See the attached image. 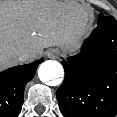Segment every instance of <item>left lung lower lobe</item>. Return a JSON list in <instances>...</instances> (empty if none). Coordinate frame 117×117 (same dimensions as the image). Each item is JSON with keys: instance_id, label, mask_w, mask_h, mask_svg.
Here are the masks:
<instances>
[{"instance_id": "1", "label": "left lung lower lobe", "mask_w": 117, "mask_h": 117, "mask_svg": "<svg viewBox=\"0 0 117 117\" xmlns=\"http://www.w3.org/2000/svg\"><path fill=\"white\" fill-rule=\"evenodd\" d=\"M65 78L57 90L66 117L117 114V21L100 16L78 55L62 61Z\"/></svg>"}]
</instances>
